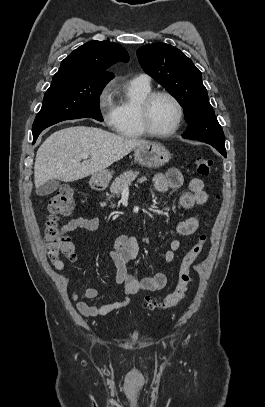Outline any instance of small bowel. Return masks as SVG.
Wrapping results in <instances>:
<instances>
[{
    "label": "small bowel",
    "instance_id": "c3829d8e",
    "mask_svg": "<svg viewBox=\"0 0 265 407\" xmlns=\"http://www.w3.org/2000/svg\"><path fill=\"white\" fill-rule=\"evenodd\" d=\"M183 176L176 168H171L165 173L157 174L154 177V187L160 193H165L170 189H178L183 185ZM208 201V194L204 190V182L200 178H193L188 183V191L184 192L180 199V204L184 209H192L196 205H204ZM200 218L194 214L188 218L180 220L176 225L177 233L180 236H190L199 228ZM100 227V220L97 217L86 218L77 217L69 220L62 227L64 233H69L78 229L95 231ZM181 247V242L174 239L169 244V249L165 252L161 264L171 263L175 258V253ZM138 245L136 238L129 235H119L114 242L110 255L116 266V282L121 287L124 298L106 304H90L87 301L95 300L99 297V291L94 287H86L81 294L72 293V298L76 302V308L84 317L105 316L114 311L125 308L130 302V296L144 291H157L163 289L167 284L166 274L159 272L153 276L137 280L129 273L128 262L136 258ZM56 270H63L64 263L59 261L53 264Z\"/></svg>",
    "mask_w": 265,
    "mask_h": 407
}]
</instances>
